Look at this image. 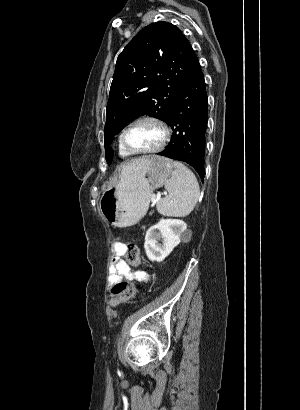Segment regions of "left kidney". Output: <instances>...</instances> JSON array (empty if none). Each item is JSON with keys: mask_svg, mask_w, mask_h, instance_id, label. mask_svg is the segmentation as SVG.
I'll use <instances>...</instances> for the list:
<instances>
[{"mask_svg": "<svg viewBox=\"0 0 300 410\" xmlns=\"http://www.w3.org/2000/svg\"><path fill=\"white\" fill-rule=\"evenodd\" d=\"M187 224L179 219H161L146 232L144 248L151 261H163L180 243ZM162 240V243L158 241Z\"/></svg>", "mask_w": 300, "mask_h": 410, "instance_id": "obj_1", "label": "left kidney"}]
</instances>
